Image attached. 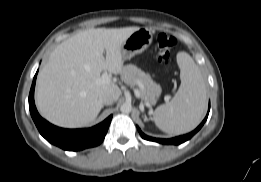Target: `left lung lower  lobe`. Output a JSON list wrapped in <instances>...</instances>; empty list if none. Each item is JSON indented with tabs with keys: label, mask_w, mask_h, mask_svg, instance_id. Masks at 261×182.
<instances>
[{
	"label": "left lung lower lobe",
	"mask_w": 261,
	"mask_h": 182,
	"mask_svg": "<svg viewBox=\"0 0 261 182\" xmlns=\"http://www.w3.org/2000/svg\"><path fill=\"white\" fill-rule=\"evenodd\" d=\"M209 110H210V107L208 109L207 116L205 117V119L202 121V123L194 131L190 132L189 134L178 136V137H175V138L159 139V138L149 137V136L145 135L144 133H142L141 130L138 127L137 128H138V131H139L141 137L146 139V140L155 141V142H158V143H161V144L179 145V144L189 140L196 132H198L200 130V128L203 126V124L207 120V117H208V114H209Z\"/></svg>",
	"instance_id": "obj_1"
}]
</instances>
